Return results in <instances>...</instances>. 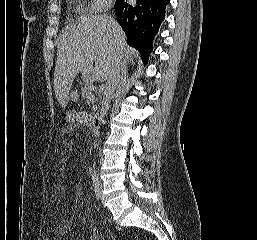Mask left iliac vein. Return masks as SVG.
Segmentation results:
<instances>
[{"label": "left iliac vein", "mask_w": 257, "mask_h": 240, "mask_svg": "<svg viewBox=\"0 0 257 240\" xmlns=\"http://www.w3.org/2000/svg\"><path fill=\"white\" fill-rule=\"evenodd\" d=\"M99 188H100V191H102V184L99 183Z\"/></svg>", "instance_id": "obj_1"}]
</instances>
